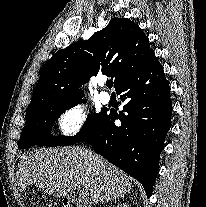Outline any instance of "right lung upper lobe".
<instances>
[{
  "label": "right lung upper lobe",
  "instance_id": "obj_1",
  "mask_svg": "<svg viewBox=\"0 0 206 207\" xmlns=\"http://www.w3.org/2000/svg\"><path fill=\"white\" fill-rule=\"evenodd\" d=\"M154 55L142 29L127 18H113L88 40L69 45L46 62L26 112L81 98L79 85L99 72L114 79L117 89Z\"/></svg>",
  "mask_w": 206,
  "mask_h": 207
}]
</instances>
